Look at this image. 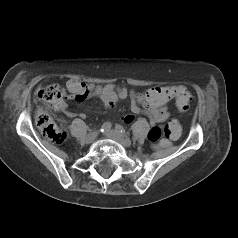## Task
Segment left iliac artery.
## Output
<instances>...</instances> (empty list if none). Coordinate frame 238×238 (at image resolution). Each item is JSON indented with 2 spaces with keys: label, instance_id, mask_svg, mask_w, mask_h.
<instances>
[{
  "label": "left iliac artery",
  "instance_id": "obj_1",
  "mask_svg": "<svg viewBox=\"0 0 238 238\" xmlns=\"http://www.w3.org/2000/svg\"><path fill=\"white\" fill-rule=\"evenodd\" d=\"M115 129H116V131L120 132L121 134L125 133V129L121 125H116Z\"/></svg>",
  "mask_w": 238,
  "mask_h": 238
}]
</instances>
